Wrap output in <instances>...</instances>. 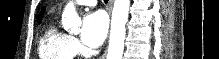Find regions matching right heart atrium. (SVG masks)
Masks as SVG:
<instances>
[{
  "label": "right heart atrium",
  "mask_w": 219,
  "mask_h": 59,
  "mask_svg": "<svg viewBox=\"0 0 219 59\" xmlns=\"http://www.w3.org/2000/svg\"><path fill=\"white\" fill-rule=\"evenodd\" d=\"M72 45H73L76 52H78L80 50V46L75 39H72Z\"/></svg>",
  "instance_id": "right-heart-atrium-1"
}]
</instances>
